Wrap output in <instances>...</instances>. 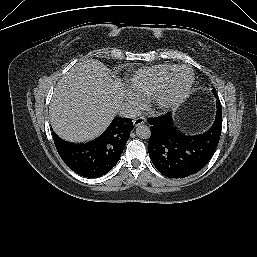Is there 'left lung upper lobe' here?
I'll return each instance as SVG.
<instances>
[{"instance_id":"left-lung-upper-lobe-1","label":"left lung upper lobe","mask_w":257,"mask_h":257,"mask_svg":"<svg viewBox=\"0 0 257 257\" xmlns=\"http://www.w3.org/2000/svg\"><path fill=\"white\" fill-rule=\"evenodd\" d=\"M212 92H213V94H214L215 98H216V99H218V95H217L216 90H215V89H213V90H212Z\"/></svg>"}]
</instances>
